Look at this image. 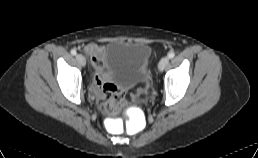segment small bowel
Returning a JSON list of instances; mask_svg holds the SVG:
<instances>
[{
  "label": "small bowel",
  "instance_id": "obj_1",
  "mask_svg": "<svg viewBox=\"0 0 258 158\" xmlns=\"http://www.w3.org/2000/svg\"><path fill=\"white\" fill-rule=\"evenodd\" d=\"M83 51L92 59L95 69L93 90L102 102V107L115 94H119L123 98V93L103 74L102 58L104 48L95 43H88L84 46Z\"/></svg>",
  "mask_w": 258,
  "mask_h": 158
}]
</instances>
